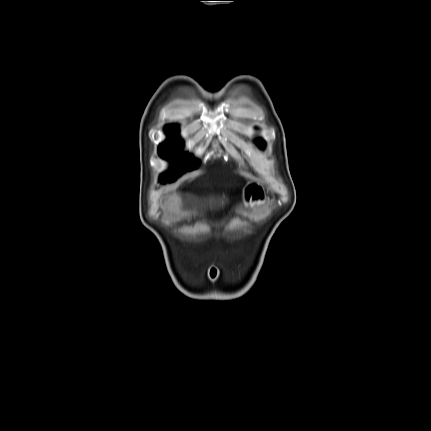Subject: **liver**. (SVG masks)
I'll list each match as a JSON object with an SVG mask.
<instances>
[{"instance_id":"obj_1","label":"liver","mask_w":431,"mask_h":431,"mask_svg":"<svg viewBox=\"0 0 431 431\" xmlns=\"http://www.w3.org/2000/svg\"><path fill=\"white\" fill-rule=\"evenodd\" d=\"M172 205L173 206H177V204H178V198H176V197H174V198H172Z\"/></svg>"}]
</instances>
